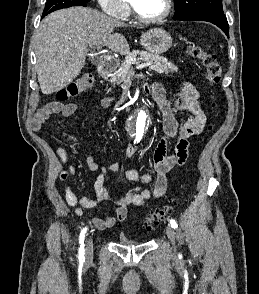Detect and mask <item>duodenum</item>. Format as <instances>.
<instances>
[{
	"instance_id": "obj_1",
	"label": "duodenum",
	"mask_w": 259,
	"mask_h": 294,
	"mask_svg": "<svg viewBox=\"0 0 259 294\" xmlns=\"http://www.w3.org/2000/svg\"><path fill=\"white\" fill-rule=\"evenodd\" d=\"M116 63L112 58H105L99 62V71L101 74H107L114 70Z\"/></svg>"
}]
</instances>
